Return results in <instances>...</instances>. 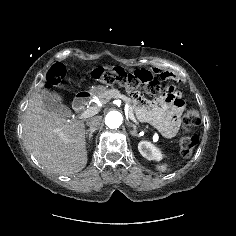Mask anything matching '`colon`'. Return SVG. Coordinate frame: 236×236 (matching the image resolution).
<instances>
[{
    "instance_id": "colon-1",
    "label": "colon",
    "mask_w": 236,
    "mask_h": 236,
    "mask_svg": "<svg viewBox=\"0 0 236 236\" xmlns=\"http://www.w3.org/2000/svg\"><path fill=\"white\" fill-rule=\"evenodd\" d=\"M65 76L64 65L54 64L47 75V87H56L61 84ZM92 78L104 84H119L129 94L135 97L142 95H163L169 100H178V95L173 87L162 84L156 77L146 71H131L124 67H100L92 72ZM200 123L199 113L196 108L190 107L183 114V129L179 138L180 152L184 157H189L199 142V137L192 132V128Z\"/></svg>"
}]
</instances>
